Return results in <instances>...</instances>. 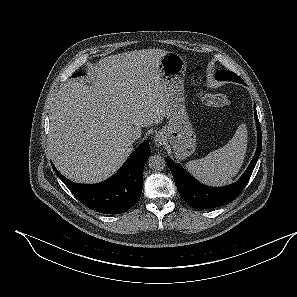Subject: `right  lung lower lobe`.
<instances>
[{"label":"right lung lower lobe","instance_id":"98d812e1","mask_svg":"<svg viewBox=\"0 0 297 297\" xmlns=\"http://www.w3.org/2000/svg\"><path fill=\"white\" fill-rule=\"evenodd\" d=\"M151 153L143 142L110 179L94 185L74 183L52 167L68 189L88 208L104 214L128 211L139 200L143 187V168Z\"/></svg>","mask_w":297,"mask_h":297}]
</instances>
